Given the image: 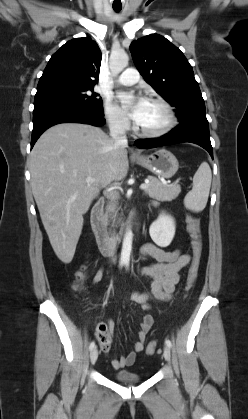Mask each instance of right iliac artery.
Returning <instances> with one entry per match:
<instances>
[{
	"label": "right iliac artery",
	"mask_w": 248,
	"mask_h": 419,
	"mask_svg": "<svg viewBox=\"0 0 248 419\" xmlns=\"http://www.w3.org/2000/svg\"><path fill=\"white\" fill-rule=\"evenodd\" d=\"M94 347H95V342H94V341H92V342L90 343L89 349H90V350H92Z\"/></svg>",
	"instance_id": "obj_1"
}]
</instances>
